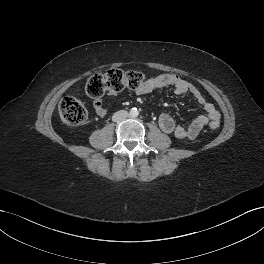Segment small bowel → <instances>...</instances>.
I'll list each match as a JSON object with an SVG mask.
<instances>
[{
  "label": "small bowel",
  "instance_id": "small-bowel-1",
  "mask_svg": "<svg viewBox=\"0 0 264 264\" xmlns=\"http://www.w3.org/2000/svg\"><path fill=\"white\" fill-rule=\"evenodd\" d=\"M164 87H171L178 95H192L206 114L198 116L189 126L184 127L177 125L170 115L163 113L159 116L158 120L159 126L163 132L173 134L179 139H194L209 122L219 121L220 113L215 106L202 95L196 86L176 74L163 73L151 76L136 90V93L138 95H143L155 89ZM93 108L97 116L105 117L107 115V109L105 108L102 99H94Z\"/></svg>",
  "mask_w": 264,
  "mask_h": 264
}]
</instances>
